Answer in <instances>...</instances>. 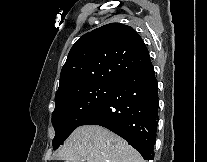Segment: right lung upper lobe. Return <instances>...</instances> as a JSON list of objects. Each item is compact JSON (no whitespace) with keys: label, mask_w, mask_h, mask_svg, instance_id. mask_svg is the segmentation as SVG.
Wrapping results in <instances>:
<instances>
[{"label":"right lung upper lobe","mask_w":207,"mask_h":162,"mask_svg":"<svg viewBox=\"0 0 207 162\" xmlns=\"http://www.w3.org/2000/svg\"><path fill=\"white\" fill-rule=\"evenodd\" d=\"M149 62V52L132 27L121 23L104 25L84 34L73 45L55 98L88 86L115 84Z\"/></svg>","instance_id":"right-lung-upper-lobe-1"}]
</instances>
